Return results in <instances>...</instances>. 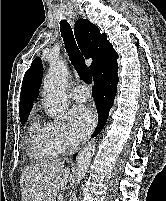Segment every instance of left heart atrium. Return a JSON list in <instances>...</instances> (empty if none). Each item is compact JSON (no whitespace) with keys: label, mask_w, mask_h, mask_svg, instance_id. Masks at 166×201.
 <instances>
[{"label":"left heart atrium","mask_w":166,"mask_h":201,"mask_svg":"<svg viewBox=\"0 0 166 201\" xmlns=\"http://www.w3.org/2000/svg\"><path fill=\"white\" fill-rule=\"evenodd\" d=\"M96 122L93 110L84 105H78L69 112V126L72 137L75 140L85 138L92 130Z\"/></svg>","instance_id":"39dd6f15"}]
</instances>
